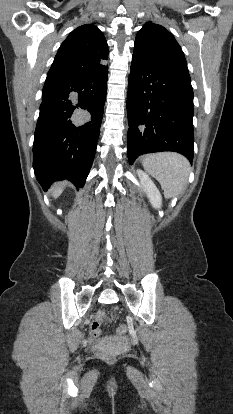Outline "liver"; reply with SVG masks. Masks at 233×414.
<instances>
[{"label": "liver", "mask_w": 233, "mask_h": 414, "mask_svg": "<svg viewBox=\"0 0 233 414\" xmlns=\"http://www.w3.org/2000/svg\"><path fill=\"white\" fill-rule=\"evenodd\" d=\"M61 191H62V189L60 187H57V188L53 189L52 195L54 197H56V196H58L61 193Z\"/></svg>", "instance_id": "liver-1"}]
</instances>
